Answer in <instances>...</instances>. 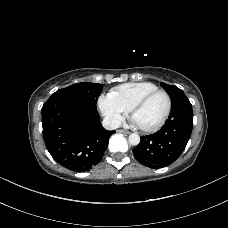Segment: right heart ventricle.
Returning a JSON list of instances; mask_svg holds the SVG:
<instances>
[{
  "instance_id": "1",
  "label": "right heart ventricle",
  "mask_w": 228,
  "mask_h": 228,
  "mask_svg": "<svg viewBox=\"0 0 228 228\" xmlns=\"http://www.w3.org/2000/svg\"><path fill=\"white\" fill-rule=\"evenodd\" d=\"M157 89V85L151 82H132L112 89L109 95L123 108L129 110L138 99Z\"/></svg>"
}]
</instances>
